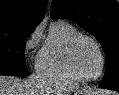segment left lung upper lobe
<instances>
[{
	"instance_id": "1",
	"label": "left lung upper lobe",
	"mask_w": 119,
	"mask_h": 95,
	"mask_svg": "<svg viewBox=\"0 0 119 95\" xmlns=\"http://www.w3.org/2000/svg\"><path fill=\"white\" fill-rule=\"evenodd\" d=\"M51 18L76 22L96 37L106 54L99 87L119 88V4L116 0H53Z\"/></svg>"
}]
</instances>
